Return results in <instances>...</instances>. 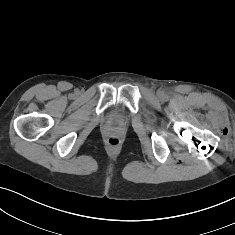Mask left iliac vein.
<instances>
[{"instance_id": "1", "label": "left iliac vein", "mask_w": 235, "mask_h": 235, "mask_svg": "<svg viewBox=\"0 0 235 235\" xmlns=\"http://www.w3.org/2000/svg\"><path fill=\"white\" fill-rule=\"evenodd\" d=\"M158 96L162 97L163 96L162 92H158Z\"/></svg>"}]
</instances>
